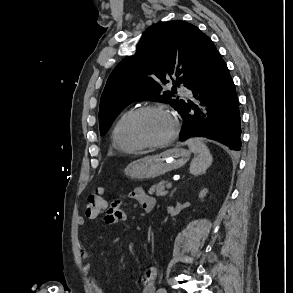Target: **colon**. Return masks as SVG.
I'll return each mask as SVG.
<instances>
[{"label":"colon","instance_id":"colon-1","mask_svg":"<svg viewBox=\"0 0 293 293\" xmlns=\"http://www.w3.org/2000/svg\"><path fill=\"white\" fill-rule=\"evenodd\" d=\"M107 206L108 202L104 195V189L98 187L87 199L85 205L86 216L88 218H96L107 209Z\"/></svg>","mask_w":293,"mask_h":293}]
</instances>
